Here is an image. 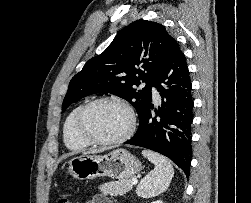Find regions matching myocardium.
<instances>
[{"mask_svg":"<svg viewBox=\"0 0 251 203\" xmlns=\"http://www.w3.org/2000/svg\"><path fill=\"white\" fill-rule=\"evenodd\" d=\"M99 103H114L121 106L127 112L129 117V125L127 130L121 136L110 140H100L90 136L85 132L83 127L85 115L91 107ZM135 129L136 116L132 107L124 100L115 96H103L88 101L80 107L74 121V131L76 135L85 143L95 146H114L121 144L131 138V136L135 132Z\"/></svg>","mask_w":251,"mask_h":203,"instance_id":"1","label":"myocardium"}]
</instances>
